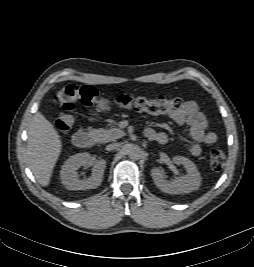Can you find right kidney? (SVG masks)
<instances>
[{
    "mask_svg": "<svg viewBox=\"0 0 254 267\" xmlns=\"http://www.w3.org/2000/svg\"><path fill=\"white\" fill-rule=\"evenodd\" d=\"M87 165L92 166V175L88 179H79L77 170ZM105 167L106 161L103 159L91 162L90 154H75L62 166L61 182L68 190L95 189L102 183Z\"/></svg>",
    "mask_w": 254,
    "mask_h": 267,
    "instance_id": "1",
    "label": "right kidney"
}]
</instances>
